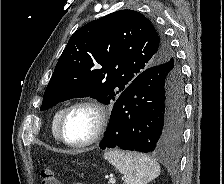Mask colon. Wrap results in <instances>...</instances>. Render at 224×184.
Listing matches in <instances>:
<instances>
[{
	"mask_svg": "<svg viewBox=\"0 0 224 184\" xmlns=\"http://www.w3.org/2000/svg\"><path fill=\"white\" fill-rule=\"evenodd\" d=\"M40 184H60L57 174L50 166H46L41 170Z\"/></svg>",
	"mask_w": 224,
	"mask_h": 184,
	"instance_id": "5ec220e1",
	"label": "colon"
}]
</instances>
